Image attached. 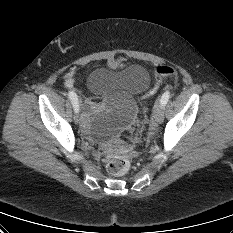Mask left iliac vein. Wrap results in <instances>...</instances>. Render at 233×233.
<instances>
[{
  "mask_svg": "<svg viewBox=\"0 0 233 233\" xmlns=\"http://www.w3.org/2000/svg\"><path fill=\"white\" fill-rule=\"evenodd\" d=\"M153 117L158 123H162L164 120V107L159 100L155 103Z\"/></svg>",
  "mask_w": 233,
  "mask_h": 233,
  "instance_id": "left-iliac-vein-1",
  "label": "left iliac vein"
}]
</instances>
